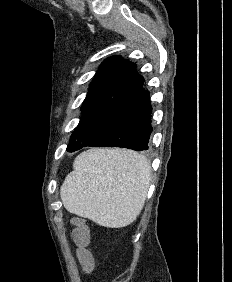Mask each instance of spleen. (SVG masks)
<instances>
[{
	"label": "spleen",
	"instance_id": "obj_1",
	"mask_svg": "<svg viewBox=\"0 0 232 282\" xmlns=\"http://www.w3.org/2000/svg\"><path fill=\"white\" fill-rule=\"evenodd\" d=\"M151 176L149 161L123 149H91L78 155L60 189L70 213L120 228L140 214Z\"/></svg>",
	"mask_w": 232,
	"mask_h": 282
}]
</instances>
